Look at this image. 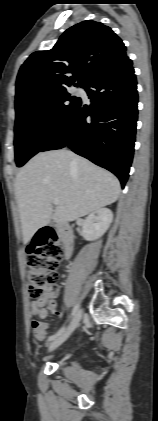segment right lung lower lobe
<instances>
[{
  "label": "right lung lower lobe",
  "mask_w": 158,
  "mask_h": 421,
  "mask_svg": "<svg viewBox=\"0 0 158 421\" xmlns=\"http://www.w3.org/2000/svg\"><path fill=\"white\" fill-rule=\"evenodd\" d=\"M136 85L132 61L125 52L86 83L84 88L91 100L90 106L81 101L39 152L68 146L114 173L123 188L134 151L138 114Z\"/></svg>",
  "instance_id": "1"
}]
</instances>
